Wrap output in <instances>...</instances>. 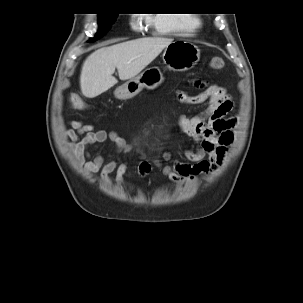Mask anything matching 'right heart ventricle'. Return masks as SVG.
Returning a JSON list of instances; mask_svg holds the SVG:
<instances>
[{
	"label": "right heart ventricle",
	"instance_id": "obj_1",
	"mask_svg": "<svg viewBox=\"0 0 303 303\" xmlns=\"http://www.w3.org/2000/svg\"><path fill=\"white\" fill-rule=\"evenodd\" d=\"M149 22L160 33L192 32L200 25L198 18L188 15H153Z\"/></svg>",
	"mask_w": 303,
	"mask_h": 303
}]
</instances>
